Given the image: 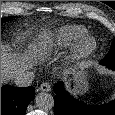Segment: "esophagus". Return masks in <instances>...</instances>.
Segmentation results:
<instances>
[{
    "mask_svg": "<svg viewBox=\"0 0 115 115\" xmlns=\"http://www.w3.org/2000/svg\"><path fill=\"white\" fill-rule=\"evenodd\" d=\"M40 91L43 92H49L51 90V85L48 82L42 83L41 86L39 87Z\"/></svg>",
    "mask_w": 115,
    "mask_h": 115,
    "instance_id": "1",
    "label": "esophagus"
}]
</instances>
